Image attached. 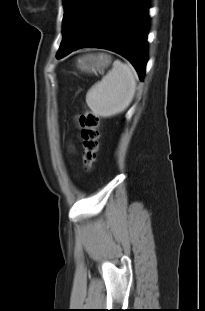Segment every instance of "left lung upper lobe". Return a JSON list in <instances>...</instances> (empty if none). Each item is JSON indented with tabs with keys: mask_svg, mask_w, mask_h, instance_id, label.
Returning <instances> with one entry per match:
<instances>
[{
	"mask_svg": "<svg viewBox=\"0 0 205 311\" xmlns=\"http://www.w3.org/2000/svg\"><path fill=\"white\" fill-rule=\"evenodd\" d=\"M117 0H63V38L57 55L84 39L105 17Z\"/></svg>",
	"mask_w": 205,
	"mask_h": 311,
	"instance_id": "left-lung-upper-lobe-1",
	"label": "left lung upper lobe"
}]
</instances>
